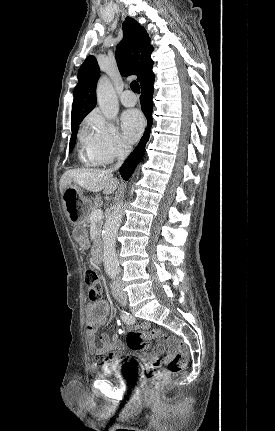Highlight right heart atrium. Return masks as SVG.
Instances as JSON below:
<instances>
[{"label": "right heart atrium", "instance_id": "obj_1", "mask_svg": "<svg viewBox=\"0 0 275 431\" xmlns=\"http://www.w3.org/2000/svg\"><path fill=\"white\" fill-rule=\"evenodd\" d=\"M80 143L92 164H109L129 151L118 128L97 112L86 118L80 133Z\"/></svg>", "mask_w": 275, "mask_h": 431}]
</instances>
